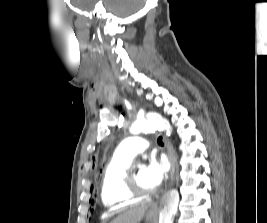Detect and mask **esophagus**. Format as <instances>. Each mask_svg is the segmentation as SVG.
I'll list each match as a JSON object with an SVG mask.
<instances>
[{
  "label": "esophagus",
  "mask_w": 267,
  "mask_h": 223,
  "mask_svg": "<svg viewBox=\"0 0 267 223\" xmlns=\"http://www.w3.org/2000/svg\"><path fill=\"white\" fill-rule=\"evenodd\" d=\"M163 141L167 149V155H168V158L171 164L170 178H171V181H173L174 175H175V166H176L175 152H174L171 142L165 135L163 136ZM156 209H157V205H154L152 207V212L156 211Z\"/></svg>",
  "instance_id": "34e87169"
}]
</instances>
